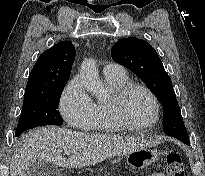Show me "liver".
Listing matches in <instances>:
<instances>
[{
  "mask_svg": "<svg viewBox=\"0 0 205 176\" xmlns=\"http://www.w3.org/2000/svg\"><path fill=\"white\" fill-rule=\"evenodd\" d=\"M158 143L157 140L89 134L65 128H39L21 138L11 159L10 176H26V170L35 162L81 168ZM66 151L72 154L68 159L62 156Z\"/></svg>",
  "mask_w": 205,
  "mask_h": 176,
  "instance_id": "liver-1",
  "label": "liver"
}]
</instances>
